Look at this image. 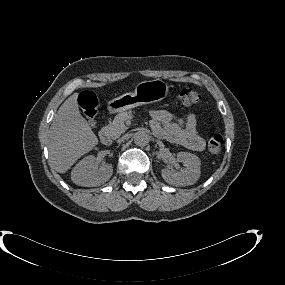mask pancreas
<instances>
[{"instance_id": "obj_1", "label": "pancreas", "mask_w": 285, "mask_h": 285, "mask_svg": "<svg viewBox=\"0 0 285 285\" xmlns=\"http://www.w3.org/2000/svg\"><path fill=\"white\" fill-rule=\"evenodd\" d=\"M129 116H131L130 112H123L116 115L114 120L105 127L108 135L115 139L124 133L127 129L125 121L129 118Z\"/></svg>"}]
</instances>
